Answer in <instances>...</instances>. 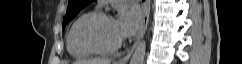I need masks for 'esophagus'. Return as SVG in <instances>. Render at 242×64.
Returning a JSON list of instances; mask_svg holds the SVG:
<instances>
[{"label":"esophagus","instance_id":"1","mask_svg":"<svg viewBox=\"0 0 242 64\" xmlns=\"http://www.w3.org/2000/svg\"><path fill=\"white\" fill-rule=\"evenodd\" d=\"M149 14H150V0H145L144 4H143V26L142 29L135 41V43L133 44V46L127 51V54L120 59L119 64H126L134 49L136 48V46L138 45V43L140 42V40L143 38L146 30H147V26H148V22H149Z\"/></svg>","mask_w":242,"mask_h":64}]
</instances>
